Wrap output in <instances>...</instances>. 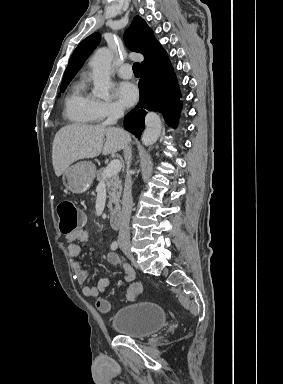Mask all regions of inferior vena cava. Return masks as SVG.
<instances>
[{
  "label": "inferior vena cava",
  "mask_w": 283,
  "mask_h": 384,
  "mask_svg": "<svg viewBox=\"0 0 283 384\" xmlns=\"http://www.w3.org/2000/svg\"><path fill=\"white\" fill-rule=\"evenodd\" d=\"M124 114V108L119 106V104H110L108 108V118L104 122V126H112V124H117V120L122 118ZM123 132V130H122ZM125 134V132H124ZM127 140H130V136L125 134ZM124 158L130 166L132 160L131 148L128 144H126L124 148ZM133 208L132 202V182L130 178V174H128L125 180L123 198H122V212H121V222H120V230L118 236V244L120 248H130V216Z\"/></svg>",
  "instance_id": "1"
}]
</instances>
